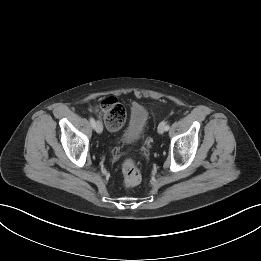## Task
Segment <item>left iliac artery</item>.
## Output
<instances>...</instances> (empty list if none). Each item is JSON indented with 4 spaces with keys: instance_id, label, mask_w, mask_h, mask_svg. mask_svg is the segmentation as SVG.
<instances>
[{
    "instance_id": "1",
    "label": "left iliac artery",
    "mask_w": 261,
    "mask_h": 261,
    "mask_svg": "<svg viewBox=\"0 0 261 261\" xmlns=\"http://www.w3.org/2000/svg\"><path fill=\"white\" fill-rule=\"evenodd\" d=\"M170 128L169 124L166 125L165 130L168 131Z\"/></svg>"
}]
</instances>
